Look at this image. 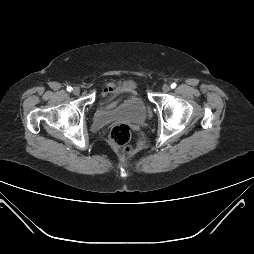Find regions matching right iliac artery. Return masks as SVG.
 Segmentation results:
<instances>
[{
    "label": "right iliac artery",
    "instance_id": "1",
    "mask_svg": "<svg viewBox=\"0 0 254 254\" xmlns=\"http://www.w3.org/2000/svg\"><path fill=\"white\" fill-rule=\"evenodd\" d=\"M71 90H72V87L67 88V91L71 92Z\"/></svg>",
    "mask_w": 254,
    "mask_h": 254
}]
</instances>
